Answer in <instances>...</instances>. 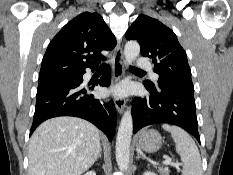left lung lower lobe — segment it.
<instances>
[{"label":"left lung lower lobe","instance_id":"1","mask_svg":"<svg viewBox=\"0 0 233 175\" xmlns=\"http://www.w3.org/2000/svg\"><path fill=\"white\" fill-rule=\"evenodd\" d=\"M145 87L150 94L133 100V133L147 125L169 123L184 128L200 143L194 90L175 86Z\"/></svg>","mask_w":233,"mask_h":175}]
</instances>
